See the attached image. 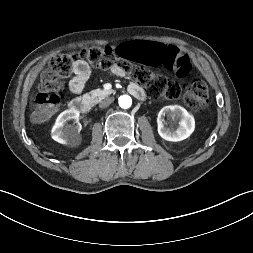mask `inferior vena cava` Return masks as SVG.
<instances>
[{
  "label": "inferior vena cava",
  "instance_id": "602c4592",
  "mask_svg": "<svg viewBox=\"0 0 253 253\" xmlns=\"http://www.w3.org/2000/svg\"><path fill=\"white\" fill-rule=\"evenodd\" d=\"M112 102H113L112 98H107V99L100 102L99 107L100 108L108 107Z\"/></svg>",
  "mask_w": 253,
  "mask_h": 253
}]
</instances>
